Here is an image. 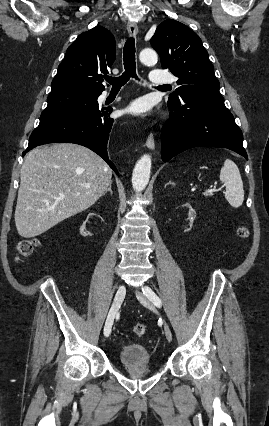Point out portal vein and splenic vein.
Segmentation results:
<instances>
[{
	"label": "portal vein and splenic vein",
	"mask_w": 269,
	"mask_h": 426,
	"mask_svg": "<svg viewBox=\"0 0 269 426\" xmlns=\"http://www.w3.org/2000/svg\"><path fill=\"white\" fill-rule=\"evenodd\" d=\"M219 190H220V189L211 188V189L206 190V193H210V194H212L213 192H215V191H219Z\"/></svg>",
	"instance_id": "portal-vein-and-splenic-vein-1"
}]
</instances>
